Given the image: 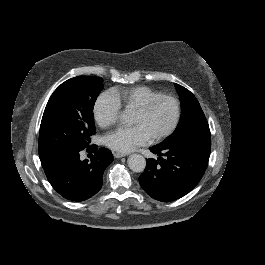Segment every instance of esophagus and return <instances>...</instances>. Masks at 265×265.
Instances as JSON below:
<instances>
[{
  "label": "esophagus",
  "mask_w": 265,
  "mask_h": 265,
  "mask_svg": "<svg viewBox=\"0 0 265 265\" xmlns=\"http://www.w3.org/2000/svg\"><path fill=\"white\" fill-rule=\"evenodd\" d=\"M126 154L125 153H121V152H114V157L115 158H121V157H125Z\"/></svg>",
  "instance_id": "34e87169"
}]
</instances>
